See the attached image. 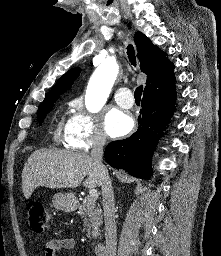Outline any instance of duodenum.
Instances as JSON below:
<instances>
[{
	"instance_id": "1",
	"label": "duodenum",
	"mask_w": 221,
	"mask_h": 256,
	"mask_svg": "<svg viewBox=\"0 0 221 256\" xmlns=\"http://www.w3.org/2000/svg\"><path fill=\"white\" fill-rule=\"evenodd\" d=\"M94 252L96 256H106V246L105 243L102 241H99L94 246Z\"/></svg>"
}]
</instances>
